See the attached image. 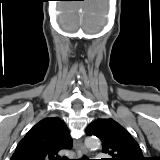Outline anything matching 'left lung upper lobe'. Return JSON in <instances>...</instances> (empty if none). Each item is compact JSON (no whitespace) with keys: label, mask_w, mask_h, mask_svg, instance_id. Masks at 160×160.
<instances>
[{"label":"left lung upper lobe","mask_w":160,"mask_h":160,"mask_svg":"<svg viewBox=\"0 0 160 160\" xmlns=\"http://www.w3.org/2000/svg\"><path fill=\"white\" fill-rule=\"evenodd\" d=\"M86 133L100 138L103 152L113 156L108 160H146L130 133L111 118L92 122Z\"/></svg>","instance_id":"5c2ea615"}]
</instances>
